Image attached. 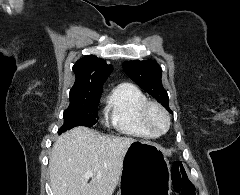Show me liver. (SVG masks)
I'll return each instance as SVG.
<instances>
[{
  "mask_svg": "<svg viewBox=\"0 0 240 195\" xmlns=\"http://www.w3.org/2000/svg\"><path fill=\"white\" fill-rule=\"evenodd\" d=\"M133 137H108L78 125L59 135L49 159L53 195H112ZM92 171L89 177H83Z\"/></svg>",
  "mask_w": 240,
  "mask_h": 195,
  "instance_id": "liver-1",
  "label": "liver"
}]
</instances>
